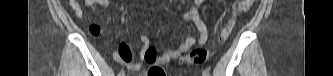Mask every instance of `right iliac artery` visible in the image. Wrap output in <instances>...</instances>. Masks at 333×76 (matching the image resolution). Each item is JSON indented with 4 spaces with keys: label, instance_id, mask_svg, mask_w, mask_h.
<instances>
[{
    "label": "right iliac artery",
    "instance_id": "obj_1",
    "mask_svg": "<svg viewBox=\"0 0 333 76\" xmlns=\"http://www.w3.org/2000/svg\"><path fill=\"white\" fill-rule=\"evenodd\" d=\"M125 75V72L123 70H121L118 74V76H124Z\"/></svg>",
    "mask_w": 333,
    "mask_h": 76
}]
</instances>
